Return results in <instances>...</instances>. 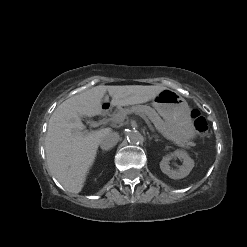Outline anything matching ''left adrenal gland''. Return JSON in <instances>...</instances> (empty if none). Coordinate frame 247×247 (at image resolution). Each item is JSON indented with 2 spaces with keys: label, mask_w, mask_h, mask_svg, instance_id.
<instances>
[{
  "label": "left adrenal gland",
  "mask_w": 247,
  "mask_h": 247,
  "mask_svg": "<svg viewBox=\"0 0 247 247\" xmlns=\"http://www.w3.org/2000/svg\"><path fill=\"white\" fill-rule=\"evenodd\" d=\"M152 138H155V140L158 141V138H157L156 135H155V136L153 135V136H151V137L149 136V140H151Z\"/></svg>",
  "instance_id": "1"
}]
</instances>
